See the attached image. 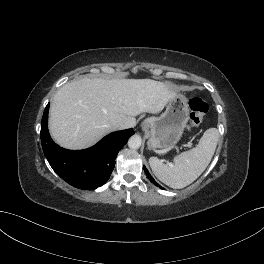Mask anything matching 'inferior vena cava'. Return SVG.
<instances>
[{"label":"inferior vena cava","mask_w":264,"mask_h":264,"mask_svg":"<svg viewBox=\"0 0 264 264\" xmlns=\"http://www.w3.org/2000/svg\"><path fill=\"white\" fill-rule=\"evenodd\" d=\"M113 128L115 130H122V129H125L126 128V125L124 123H122V122H118V123H115L113 125Z\"/></svg>","instance_id":"1"}]
</instances>
